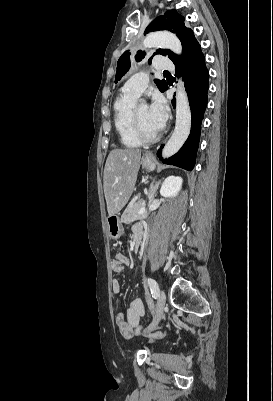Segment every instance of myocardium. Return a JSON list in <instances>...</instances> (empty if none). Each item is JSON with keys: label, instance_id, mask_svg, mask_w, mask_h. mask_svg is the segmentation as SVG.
<instances>
[{"label": "myocardium", "instance_id": "f54148a6", "mask_svg": "<svg viewBox=\"0 0 273 401\" xmlns=\"http://www.w3.org/2000/svg\"><path fill=\"white\" fill-rule=\"evenodd\" d=\"M131 117H132V125L134 132L142 142L152 143L160 137L161 134L159 131L155 133H148L142 128L137 117L136 108L132 109Z\"/></svg>", "mask_w": 273, "mask_h": 401}]
</instances>
